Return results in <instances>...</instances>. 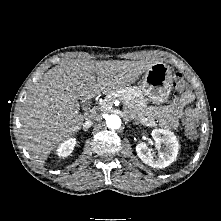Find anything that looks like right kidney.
I'll list each match as a JSON object with an SVG mask.
<instances>
[{"label":"right kidney","instance_id":"obj_1","mask_svg":"<svg viewBox=\"0 0 221 221\" xmlns=\"http://www.w3.org/2000/svg\"><path fill=\"white\" fill-rule=\"evenodd\" d=\"M76 144V139H68L60 144L59 148L56 150L59 157L69 156Z\"/></svg>","mask_w":221,"mask_h":221}]
</instances>
